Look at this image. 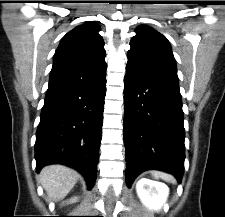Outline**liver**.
Masks as SVG:
<instances>
[{
	"instance_id": "1",
	"label": "liver",
	"mask_w": 225,
	"mask_h": 217,
	"mask_svg": "<svg viewBox=\"0 0 225 217\" xmlns=\"http://www.w3.org/2000/svg\"><path fill=\"white\" fill-rule=\"evenodd\" d=\"M79 174L60 164L45 166L40 172V182L50 199L63 200L74 187Z\"/></svg>"
}]
</instances>
